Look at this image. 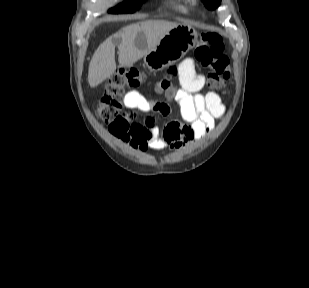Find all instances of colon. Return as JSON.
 Returning a JSON list of instances; mask_svg holds the SVG:
<instances>
[{"instance_id":"1","label":"colon","mask_w":309,"mask_h":288,"mask_svg":"<svg viewBox=\"0 0 309 288\" xmlns=\"http://www.w3.org/2000/svg\"><path fill=\"white\" fill-rule=\"evenodd\" d=\"M193 58L207 70V84L215 90L224 88L231 76L229 61L224 54V46L219 35L203 32L193 50ZM144 82V77L137 68H121L109 77L105 91L98 103L97 111L100 118L107 122L121 120L129 123L132 120L130 112L123 107V93L127 87H137ZM156 90L167 97H173L174 92L169 83L160 82Z\"/></svg>"}]
</instances>
